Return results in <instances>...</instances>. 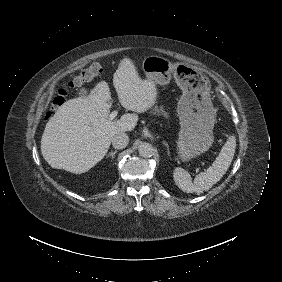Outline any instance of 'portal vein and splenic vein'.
Masks as SVG:
<instances>
[{"label":"portal vein and splenic vein","mask_w":282,"mask_h":282,"mask_svg":"<svg viewBox=\"0 0 282 282\" xmlns=\"http://www.w3.org/2000/svg\"><path fill=\"white\" fill-rule=\"evenodd\" d=\"M117 114H118V111L111 112L109 115V120L112 121L117 116Z\"/></svg>","instance_id":"obj_1"}]
</instances>
